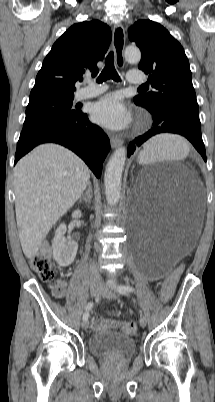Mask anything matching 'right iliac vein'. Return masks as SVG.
<instances>
[{
	"label": "right iliac vein",
	"mask_w": 215,
	"mask_h": 402,
	"mask_svg": "<svg viewBox=\"0 0 215 402\" xmlns=\"http://www.w3.org/2000/svg\"><path fill=\"white\" fill-rule=\"evenodd\" d=\"M99 290H100V288H99V285H98V284H92V285L90 286L91 294L94 295V296L99 293ZM88 325H89V324H88V321H83V323H82V328H83L84 330H87Z\"/></svg>",
	"instance_id": "obj_1"
}]
</instances>
